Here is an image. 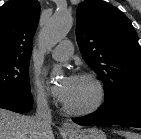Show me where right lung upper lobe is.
Returning <instances> with one entry per match:
<instances>
[{
    "instance_id": "obj_1",
    "label": "right lung upper lobe",
    "mask_w": 141,
    "mask_h": 139,
    "mask_svg": "<svg viewBox=\"0 0 141 139\" xmlns=\"http://www.w3.org/2000/svg\"><path fill=\"white\" fill-rule=\"evenodd\" d=\"M40 15L37 0H10L0 7V58H30Z\"/></svg>"
}]
</instances>
